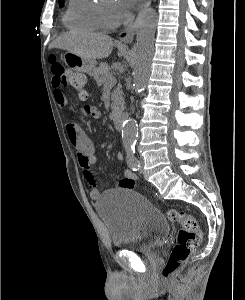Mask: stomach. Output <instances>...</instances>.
<instances>
[{"mask_svg":"<svg viewBox=\"0 0 245 300\" xmlns=\"http://www.w3.org/2000/svg\"><path fill=\"white\" fill-rule=\"evenodd\" d=\"M65 64L74 71L92 75L96 66V61L93 59L83 58L75 53L66 52L64 54Z\"/></svg>","mask_w":245,"mask_h":300,"instance_id":"1","label":"stomach"}]
</instances>
